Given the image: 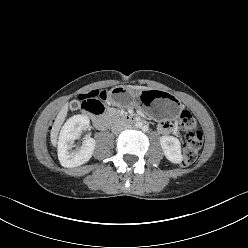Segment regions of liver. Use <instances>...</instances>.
Here are the masks:
<instances>
[{"label": "liver", "instance_id": "6515ba94", "mask_svg": "<svg viewBox=\"0 0 248 248\" xmlns=\"http://www.w3.org/2000/svg\"><path fill=\"white\" fill-rule=\"evenodd\" d=\"M131 89H136V90H147L149 89L148 87H144V86H129ZM67 110H68V104H66L58 113L55 122L52 126V130H51V143L53 146H56L57 144V137H58V133L59 130L61 128V125L63 124L65 117L67 115Z\"/></svg>", "mask_w": 248, "mask_h": 248}]
</instances>
